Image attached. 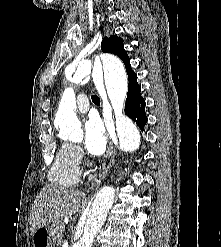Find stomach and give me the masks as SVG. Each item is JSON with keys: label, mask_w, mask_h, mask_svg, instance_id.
I'll use <instances>...</instances> for the list:
<instances>
[{"label": "stomach", "mask_w": 221, "mask_h": 247, "mask_svg": "<svg viewBox=\"0 0 221 247\" xmlns=\"http://www.w3.org/2000/svg\"><path fill=\"white\" fill-rule=\"evenodd\" d=\"M53 240L52 227L49 226L40 227L32 234L33 247H52Z\"/></svg>", "instance_id": "obj_1"}]
</instances>
